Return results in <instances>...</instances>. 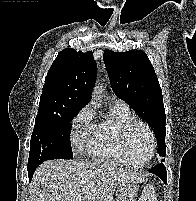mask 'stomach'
<instances>
[{
  "label": "stomach",
  "instance_id": "1",
  "mask_svg": "<svg viewBox=\"0 0 196 201\" xmlns=\"http://www.w3.org/2000/svg\"><path fill=\"white\" fill-rule=\"evenodd\" d=\"M137 191L138 186L135 182L120 184L116 189L118 201H136Z\"/></svg>",
  "mask_w": 196,
  "mask_h": 201
}]
</instances>
